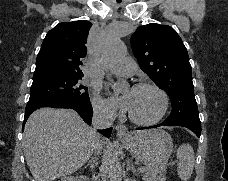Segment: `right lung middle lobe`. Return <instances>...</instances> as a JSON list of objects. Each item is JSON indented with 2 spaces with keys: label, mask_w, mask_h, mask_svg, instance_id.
<instances>
[{
  "label": "right lung middle lobe",
  "mask_w": 228,
  "mask_h": 181,
  "mask_svg": "<svg viewBox=\"0 0 228 181\" xmlns=\"http://www.w3.org/2000/svg\"><path fill=\"white\" fill-rule=\"evenodd\" d=\"M82 76L56 74L33 78L29 101L56 99L90 105L87 87L79 83Z\"/></svg>",
  "instance_id": "right-lung-middle-lobe-1"
}]
</instances>
